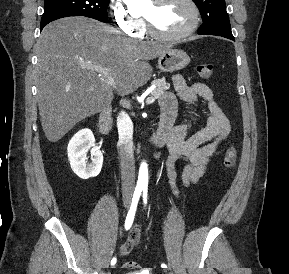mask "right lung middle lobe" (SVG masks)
Instances as JSON below:
<instances>
[{
	"mask_svg": "<svg viewBox=\"0 0 289 274\" xmlns=\"http://www.w3.org/2000/svg\"><path fill=\"white\" fill-rule=\"evenodd\" d=\"M110 0H45L41 24L69 16H86L106 22Z\"/></svg>",
	"mask_w": 289,
	"mask_h": 274,
	"instance_id": "1",
	"label": "right lung middle lobe"
}]
</instances>
